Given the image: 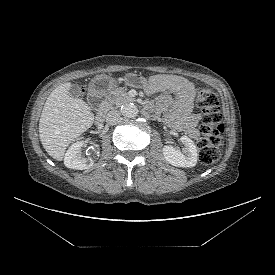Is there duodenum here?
<instances>
[{
	"mask_svg": "<svg viewBox=\"0 0 275 275\" xmlns=\"http://www.w3.org/2000/svg\"><path fill=\"white\" fill-rule=\"evenodd\" d=\"M92 97L96 102L100 103L99 110L95 116V123L101 125L107 112L106 105L103 103L104 94L100 89H93Z\"/></svg>",
	"mask_w": 275,
	"mask_h": 275,
	"instance_id": "1",
	"label": "duodenum"
}]
</instances>
